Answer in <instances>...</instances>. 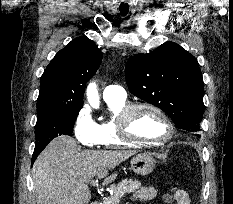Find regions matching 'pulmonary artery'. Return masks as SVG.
<instances>
[{
  "label": "pulmonary artery",
  "mask_w": 233,
  "mask_h": 204,
  "mask_svg": "<svg viewBox=\"0 0 233 204\" xmlns=\"http://www.w3.org/2000/svg\"><path fill=\"white\" fill-rule=\"evenodd\" d=\"M103 98L105 101L126 99V91L120 85L111 84L103 90Z\"/></svg>",
  "instance_id": "pulmonary-artery-1"
}]
</instances>
